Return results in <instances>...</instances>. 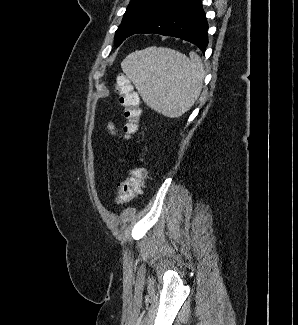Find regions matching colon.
<instances>
[{"label": "colon", "mask_w": 298, "mask_h": 325, "mask_svg": "<svg viewBox=\"0 0 298 325\" xmlns=\"http://www.w3.org/2000/svg\"><path fill=\"white\" fill-rule=\"evenodd\" d=\"M115 90L119 95V104L123 108L126 120L122 136L130 139L138 130L141 118L140 99L132 84L125 75H119L116 79ZM147 172L143 167H134L129 170L126 179L120 184L115 198L117 205H123L135 199L141 192Z\"/></svg>", "instance_id": "colon-1"}]
</instances>
